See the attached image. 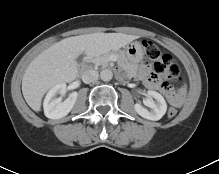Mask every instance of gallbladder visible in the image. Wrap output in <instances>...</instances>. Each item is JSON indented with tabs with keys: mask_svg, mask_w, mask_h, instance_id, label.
I'll list each match as a JSON object with an SVG mask.
<instances>
[{
	"mask_svg": "<svg viewBox=\"0 0 219 174\" xmlns=\"http://www.w3.org/2000/svg\"><path fill=\"white\" fill-rule=\"evenodd\" d=\"M80 60H81L80 58L77 59V61H80Z\"/></svg>",
	"mask_w": 219,
	"mask_h": 174,
	"instance_id": "1",
	"label": "gallbladder"
}]
</instances>
